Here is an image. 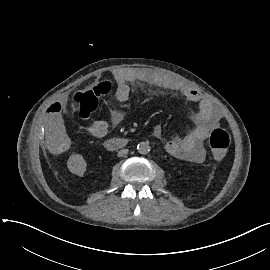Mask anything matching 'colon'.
I'll list each match as a JSON object with an SVG mask.
<instances>
[{"label":"colon","mask_w":270,"mask_h":270,"mask_svg":"<svg viewBox=\"0 0 270 270\" xmlns=\"http://www.w3.org/2000/svg\"><path fill=\"white\" fill-rule=\"evenodd\" d=\"M111 90L109 83H99L91 89L79 90L72 96V106L78 116L90 119L96 113L100 97L107 95ZM231 143L230 132L226 128H215L209 136V145L214 151L213 158L222 162L226 158L225 151Z\"/></svg>","instance_id":"colon-1"}]
</instances>
